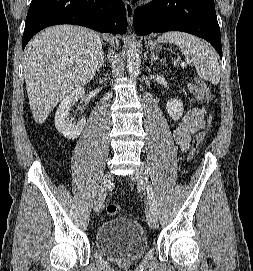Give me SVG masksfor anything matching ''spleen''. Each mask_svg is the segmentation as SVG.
<instances>
[{"mask_svg": "<svg viewBox=\"0 0 253 271\" xmlns=\"http://www.w3.org/2000/svg\"><path fill=\"white\" fill-rule=\"evenodd\" d=\"M158 42L172 43L190 59L202 79L217 84L220 81V66L214 51L199 38L184 32L163 33Z\"/></svg>", "mask_w": 253, "mask_h": 271, "instance_id": "obj_1", "label": "spleen"}]
</instances>
